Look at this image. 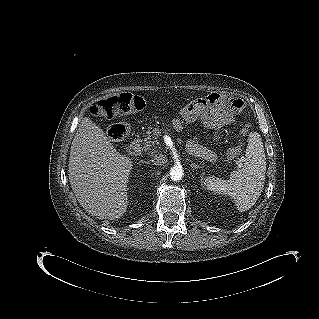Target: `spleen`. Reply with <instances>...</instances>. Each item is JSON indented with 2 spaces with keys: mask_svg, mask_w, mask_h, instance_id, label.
I'll list each match as a JSON object with an SVG mask.
<instances>
[{
  "mask_svg": "<svg viewBox=\"0 0 319 319\" xmlns=\"http://www.w3.org/2000/svg\"><path fill=\"white\" fill-rule=\"evenodd\" d=\"M240 169L233 171L228 180L207 177L205 186L214 194L234 199L237 209L245 211L258 200L264 186L266 158L261 136L251 132Z\"/></svg>",
  "mask_w": 319,
  "mask_h": 319,
  "instance_id": "3e777b00",
  "label": "spleen"
}]
</instances>
